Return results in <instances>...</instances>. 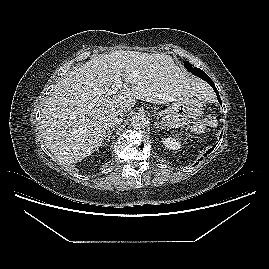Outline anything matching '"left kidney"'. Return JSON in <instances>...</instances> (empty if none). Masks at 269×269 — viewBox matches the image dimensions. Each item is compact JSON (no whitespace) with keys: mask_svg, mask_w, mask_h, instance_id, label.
I'll return each mask as SVG.
<instances>
[{"mask_svg":"<svg viewBox=\"0 0 269 269\" xmlns=\"http://www.w3.org/2000/svg\"><path fill=\"white\" fill-rule=\"evenodd\" d=\"M162 143L166 148L170 150H178L181 147L180 142L171 137L162 138Z\"/></svg>","mask_w":269,"mask_h":269,"instance_id":"1","label":"left kidney"}]
</instances>
